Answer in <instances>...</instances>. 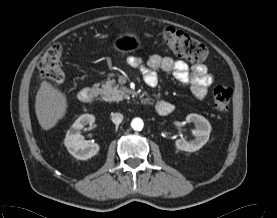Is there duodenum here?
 Wrapping results in <instances>:
<instances>
[{
    "label": "duodenum",
    "mask_w": 277,
    "mask_h": 218,
    "mask_svg": "<svg viewBox=\"0 0 277 218\" xmlns=\"http://www.w3.org/2000/svg\"><path fill=\"white\" fill-rule=\"evenodd\" d=\"M97 95V90L93 88H83L78 93V98L82 103L91 104L94 102ZM158 109L163 115H167L171 112V105L168 102L161 101L158 105Z\"/></svg>",
    "instance_id": "duodenum-1"
}]
</instances>
